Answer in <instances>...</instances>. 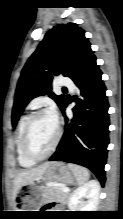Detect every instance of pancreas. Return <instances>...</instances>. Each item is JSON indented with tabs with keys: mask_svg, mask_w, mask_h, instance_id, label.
<instances>
[{
	"mask_svg": "<svg viewBox=\"0 0 123 219\" xmlns=\"http://www.w3.org/2000/svg\"><path fill=\"white\" fill-rule=\"evenodd\" d=\"M42 194L45 202H65L69 195V193L64 192L61 187L56 186L45 187Z\"/></svg>",
	"mask_w": 123,
	"mask_h": 219,
	"instance_id": "pancreas-1",
	"label": "pancreas"
}]
</instances>
